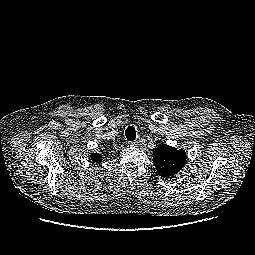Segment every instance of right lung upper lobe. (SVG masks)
Segmentation results:
<instances>
[{"mask_svg":"<svg viewBox=\"0 0 255 255\" xmlns=\"http://www.w3.org/2000/svg\"><path fill=\"white\" fill-rule=\"evenodd\" d=\"M90 157H91V160L96 163H101L103 158L100 154H96V153L91 154Z\"/></svg>","mask_w":255,"mask_h":255,"instance_id":"cb5924a9","label":"right lung upper lobe"}]
</instances>
